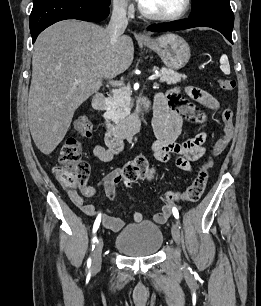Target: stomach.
<instances>
[{"mask_svg":"<svg viewBox=\"0 0 261 306\" xmlns=\"http://www.w3.org/2000/svg\"><path fill=\"white\" fill-rule=\"evenodd\" d=\"M143 44L155 51L169 69L183 68L191 56L188 43L174 33H167L156 39L143 41Z\"/></svg>","mask_w":261,"mask_h":306,"instance_id":"1","label":"stomach"}]
</instances>
